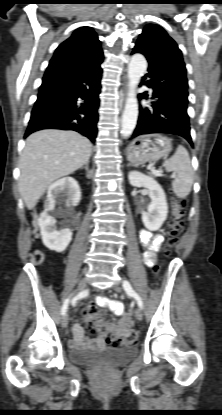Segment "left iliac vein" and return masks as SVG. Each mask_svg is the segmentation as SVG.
Returning a JSON list of instances; mask_svg holds the SVG:
<instances>
[{
    "instance_id": "4c4485c4",
    "label": "left iliac vein",
    "mask_w": 222,
    "mask_h": 415,
    "mask_svg": "<svg viewBox=\"0 0 222 415\" xmlns=\"http://www.w3.org/2000/svg\"><path fill=\"white\" fill-rule=\"evenodd\" d=\"M114 290L117 291V292H121V287L119 285H115ZM135 314H136V318L139 321H141L143 319V313H142L141 309L137 308L136 311H135Z\"/></svg>"
}]
</instances>
